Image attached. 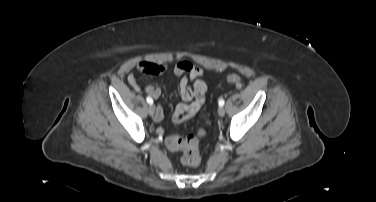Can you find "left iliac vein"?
I'll use <instances>...</instances> for the list:
<instances>
[{"instance_id": "4c4485c4", "label": "left iliac vein", "mask_w": 376, "mask_h": 202, "mask_svg": "<svg viewBox=\"0 0 376 202\" xmlns=\"http://www.w3.org/2000/svg\"><path fill=\"white\" fill-rule=\"evenodd\" d=\"M218 114L221 117L224 116L225 115V109L223 107H219L218 108Z\"/></svg>"}]
</instances>
